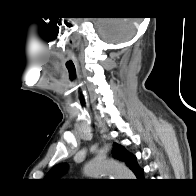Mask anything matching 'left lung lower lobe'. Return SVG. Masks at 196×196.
<instances>
[{"instance_id":"left-lung-lower-lobe-1","label":"left lung lower lobe","mask_w":196,"mask_h":196,"mask_svg":"<svg viewBox=\"0 0 196 196\" xmlns=\"http://www.w3.org/2000/svg\"><path fill=\"white\" fill-rule=\"evenodd\" d=\"M131 170L134 172V174L136 175L138 180L143 179L144 170L138 166V164L136 162V157L134 159Z\"/></svg>"}]
</instances>
